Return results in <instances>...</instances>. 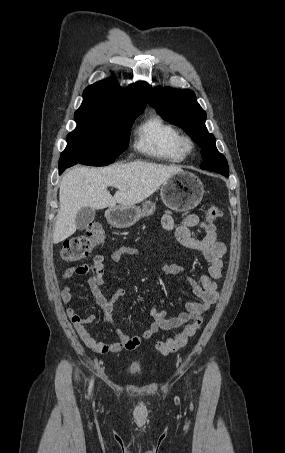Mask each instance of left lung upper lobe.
I'll use <instances>...</instances> for the list:
<instances>
[{
  "instance_id": "1",
  "label": "left lung upper lobe",
  "mask_w": 285,
  "mask_h": 453,
  "mask_svg": "<svg viewBox=\"0 0 285 453\" xmlns=\"http://www.w3.org/2000/svg\"><path fill=\"white\" fill-rule=\"evenodd\" d=\"M149 104L164 120L181 127L202 148L200 168L229 175L227 160L217 150L214 135L207 131L206 112L197 103L193 91L157 86Z\"/></svg>"
}]
</instances>
